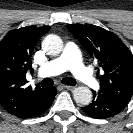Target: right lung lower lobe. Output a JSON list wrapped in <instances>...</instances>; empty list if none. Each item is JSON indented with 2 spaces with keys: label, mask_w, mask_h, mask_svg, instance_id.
<instances>
[{
  "label": "right lung lower lobe",
  "mask_w": 133,
  "mask_h": 133,
  "mask_svg": "<svg viewBox=\"0 0 133 133\" xmlns=\"http://www.w3.org/2000/svg\"><path fill=\"white\" fill-rule=\"evenodd\" d=\"M55 95H56V89L49 88L45 97L42 99V101L39 102L38 108L34 112H32L26 116H21L20 118H32V117L41 115L42 113H44L45 111L48 110V108L52 104V101H53Z\"/></svg>",
  "instance_id": "1"
}]
</instances>
